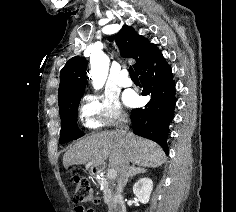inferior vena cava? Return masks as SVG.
<instances>
[{
  "mask_svg": "<svg viewBox=\"0 0 236 212\" xmlns=\"http://www.w3.org/2000/svg\"><path fill=\"white\" fill-rule=\"evenodd\" d=\"M120 121H121V123L119 125V128H120L119 131L122 132V133H126V131L128 130V127L126 126V123H127L126 117L123 116L120 119ZM129 170H130L129 159H128L127 156H124L122 158L121 162H120L119 169H118L117 189H118L119 192H122L123 187L125 186V181H126V178L128 176Z\"/></svg>",
  "mask_w": 236,
  "mask_h": 212,
  "instance_id": "obj_1",
  "label": "inferior vena cava"
}]
</instances>
